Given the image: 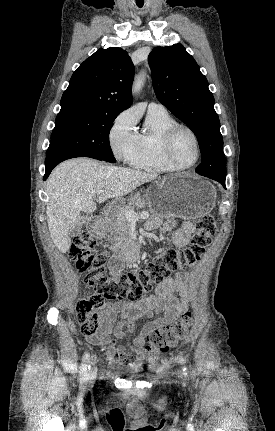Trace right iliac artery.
<instances>
[{
    "instance_id": "1",
    "label": "right iliac artery",
    "mask_w": 275,
    "mask_h": 431,
    "mask_svg": "<svg viewBox=\"0 0 275 431\" xmlns=\"http://www.w3.org/2000/svg\"><path fill=\"white\" fill-rule=\"evenodd\" d=\"M89 362H90V357H89V354L86 352L83 355L82 364L80 368V375L82 377V380H86L88 377V370L90 367Z\"/></svg>"
}]
</instances>
